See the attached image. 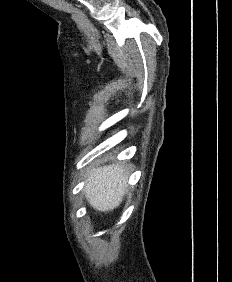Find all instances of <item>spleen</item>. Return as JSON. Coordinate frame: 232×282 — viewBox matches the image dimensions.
<instances>
[{
    "label": "spleen",
    "mask_w": 232,
    "mask_h": 282,
    "mask_svg": "<svg viewBox=\"0 0 232 282\" xmlns=\"http://www.w3.org/2000/svg\"><path fill=\"white\" fill-rule=\"evenodd\" d=\"M127 178V169L123 165L94 169L84 189L89 203L99 211L118 207L126 191Z\"/></svg>",
    "instance_id": "3e777b00"
}]
</instances>
